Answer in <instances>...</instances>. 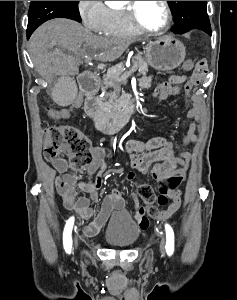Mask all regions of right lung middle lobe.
Returning <instances> with one entry per match:
<instances>
[{
  "label": "right lung middle lobe",
  "mask_w": 237,
  "mask_h": 300,
  "mask_svg": "<svg viewBox=\"0 0 237 300\" xmlns=\"http://www.w3.org/2000/svg\"><path fill=\"white\" fill-rule=\"evenodd\" d=\"M78 1H31L28 13V29L35 30L47 20L68 18L81 22Z\"/></svg>",
  "instance_id": "obj_1"
}]
</instances>
